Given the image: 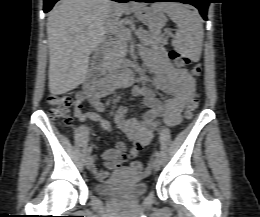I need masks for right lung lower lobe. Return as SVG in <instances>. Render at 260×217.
<instances>
[{"mask_svg": "<svg viewBox=\"0 0 260 217\" xmlns=\"http://www.w3.org/2000/svg\"><path fill=\"white\" fill-rule=\"evenodd\" d=\"M58 0H44V12H48L49 10H51V8L53 7V5L57 2ZM114 1H118V2H128V1H132V0H114Z\"/></svg>", "mask_w": 260, "mask_h": 217, "instance_id": "1", "label": "right lung lower lobe"}]
</instances>
